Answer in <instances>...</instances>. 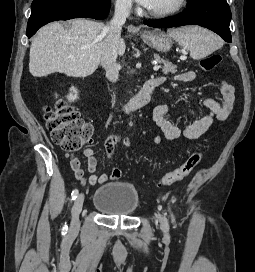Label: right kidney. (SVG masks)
Masks as SVG:
<instances>
[{"label":"right kidney","instance_id":"obj_1","mask_svg":"<svg viewBox=\"0 0 255 272\" xmlns=\"http://www.w3.org/2000/svg\"><path fill=\"white\" fill-rule=\"evenodd\" d=\"M70 91H71V93L68 95V99H69V101H75L78 98V96H77L78 92H77V90L74 87H72L70 89Z\"/></svg>","mask_w":255,"mask_h":272}]
</instances>
